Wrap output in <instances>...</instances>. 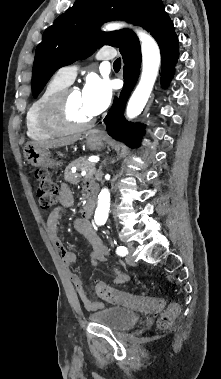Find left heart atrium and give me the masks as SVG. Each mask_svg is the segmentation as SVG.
Masks as SVG:
<instances>
[{
    "label": "left heart atrium",
    "mask_w": 221,
    "mask_h": 379,
    "mask_svg": "<svg viewBox=\"0 0 221 379\" xmlns=\"http://www.w3.org/2000/svg\"><path fill=\"white\" fill-rule=\"evenodd\" d=\"M81 93L84 105L92 116L103 112L110 104L112 97L109 82L96 75H91L86 79Z\"/></svg>",
    "instance_id": "1"
}]
</instances>
